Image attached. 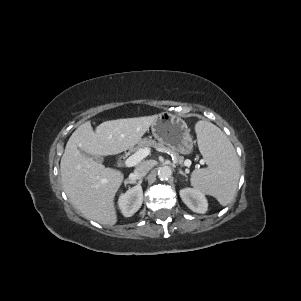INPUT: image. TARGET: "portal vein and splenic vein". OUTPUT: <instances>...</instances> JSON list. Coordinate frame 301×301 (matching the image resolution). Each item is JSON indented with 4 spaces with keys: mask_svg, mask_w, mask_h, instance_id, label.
<instances>
[{
    "mask_svg": "<svg viewBox=\"0 0 301 301\" xmlns=\"http://www.w3.org/2000/svg\"><path fill=\"white\" fill-rule=\"evenodd\" d=\"M159 151L164 152L162 150H159ZM149 154H150V148L139 149L136 153H134L133 155H131L130 157H128L126 159L125 166L126 167L135 166L136 164H138L139 162H141V160H143ZM187 166H190V164H188Z\"/></svg>",
    "mask_w": 301,
    "mask_h": 301,
    "instance_id": "portal-vein-and-splenic-vein-1",
    "label": "portal vein and splenic vein"
}]
</instances>
